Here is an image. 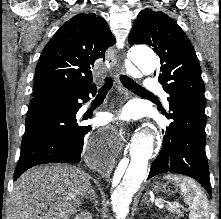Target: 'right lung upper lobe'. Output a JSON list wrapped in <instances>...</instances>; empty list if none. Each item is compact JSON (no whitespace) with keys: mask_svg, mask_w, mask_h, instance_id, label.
Returning <instances> with one entry per match:
<instances>
[{"mask_svg":"<svg viewBox=\"0 0 221 219\" xmlns=\"http://www.w3.org/2000/svg\"><path fill=\"white\" fill-rule=\"evenodd\" d=\"M115 43L107 22L95 13L78 14L64 23L39 58L33 97L95 87L92 72Z\"/></svg>","mask_w":221,"mask_h":219,"instance_id":"right-lung-upper-lobe-1","label":"right lung upper lobe"}]
</instances>
